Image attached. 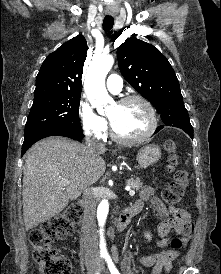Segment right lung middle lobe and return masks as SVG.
<instances>
[{
    "label": "right lung middle lobe",
    "mask_w": 221,
    "mask_h": 274,
    "mask_svg": "<svg viewBox=\"0 0 221 274\" xmlns=\"http://www.w3.org/2000/svg\"><path fill=\"white\" fill-rule=\"evenodd\" d=\"M80 96L71 94L34 99L24 135L55 127L83 132L79 121Z\"/></svg>",
    "instance_id": "dd1d6c3e"
}]
</instances>
